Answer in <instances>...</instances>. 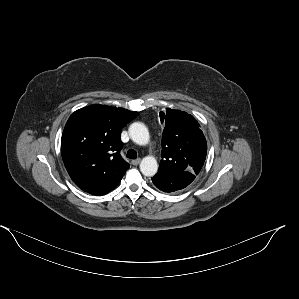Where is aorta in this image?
<instances>
[{"label":"aorta","mask_w":299,"mask_h":299,"mask_svg":"<svg viewBox=\"0 0 299 299\" xmlns=\"http://www.w3.org/2000/svg\"><path fill=\"white\" fill-rule=\"evenodd\" d=\"M131 139L138 145H146L150 135L147 127L141 122H134L129 127ZM140 170L144 176H154L158 170V164L153 156H146L140 163Z\"/></svg>","instance_id":"aorta-1"}]
</instances>
